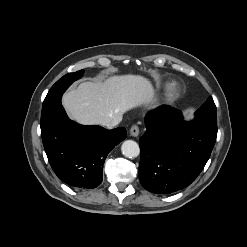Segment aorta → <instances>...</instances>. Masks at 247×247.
Here are the masks:
<instances>
[{"mask_svg": "<svg viewBox=\"0 0 247 247\" xmlns=\"http://www.w3.org/2000/svg\"><path fill=\"white\" fill-rule=\"evenodd\" d=\"M123 155L127 158H136L140 154L139 145L133 140H126L121 146Z\"/></svg>", "mask_w": 247, "mask_h": 247, "instance_id": "762f6f07", "label": "aorta"}]
</instances>
